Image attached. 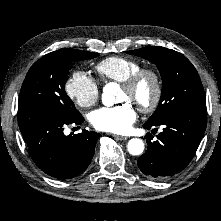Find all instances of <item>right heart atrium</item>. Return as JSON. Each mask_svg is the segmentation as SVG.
<instances>
[{
    "label": "right heart atrium",
    "instance_id": "right-heart-atrium-1",
    "mask_svg": "<svg viewBox=\"0 0 221 221\" xmlns=\"http://www.w3.org/2000/svg\"><path fill=\"white\" fill-rule=\"evenodd\" d=\"M64 87L66 94L82 108L93 106L100 96L98 83L84 71L72 72L68 76Z\"/></svg>",
    "mask_w": 221,
    "mask_h": 221
}]
</instances>
